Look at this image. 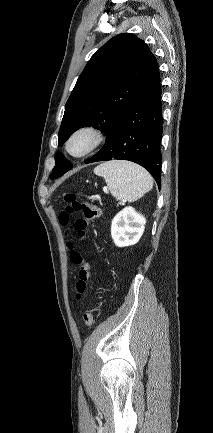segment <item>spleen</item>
Segmentation results:
<instances>
[{
    "label": "spleen",
    "mask_w": 213,
    "mask_h": 433,
    "mask_svg": "<svg viewBox=\"0 0 213 433\" xmlns=\"http://www.w3.org/2000/svg\"><path fill=\"white\" fill-rule=\"evenodd\" d=\"M94 173L104 178L111 194L120 201L134 202L153 187L151 175L128 161L112 160L98 165Z\"/></svg>",
    "instance_id": "obj_1"
}]
</instances>
